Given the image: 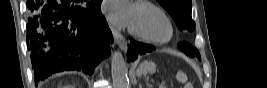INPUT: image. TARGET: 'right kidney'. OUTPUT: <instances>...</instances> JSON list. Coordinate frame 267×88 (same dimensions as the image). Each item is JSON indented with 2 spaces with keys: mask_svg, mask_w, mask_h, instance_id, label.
Listing matches in <instances>:
<instances>
[{
  "mask_svg": "<svg viewBox=\"0 0 267 88\" xmlns=\"http://www.w3.org/2000/svg\"><path fill=\"white\" fill-rule=\"evenodd\" d=\"M63 88H74V86H65Z\"/></svg>",
  "mask_w": 267,
  "mask_h": 88,
  "instance_id": "obj_1",
  "label": "right kidney"
}]
</instances>
